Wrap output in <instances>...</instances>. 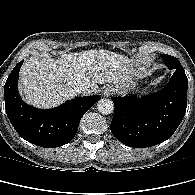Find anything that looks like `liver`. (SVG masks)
<instances>
[{"instance_id": "1", "label": "liver", "mask_w": 195, "mask_h": 195, "mask_svg": "<svg viewBox=\"0 0 195 195\" xmlns=\"http://www.w3.org/2000/svg\"><path fill=\"white\" fill-rule=\"evenodd\" d=\"M140 75L128 57L103 49L63 54L57 60L35 55L21 68L19 91L28 104L52 108L75 97L78 85H90L91 93L105 83L125 90Z\"/></svg>"}]
</instances>
